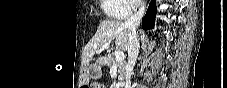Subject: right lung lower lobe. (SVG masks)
Segmentation results:
<instances>
[{
  "label": "right lung lower lobe",
  "mask_w": 227,
  "mask_h": 88,
  "mask_svg": "<svg viewBox=\"0 0 227 88\" xmlns=\"http://www.w3.org/2000/svg\"><path fill=\"white\" fill-rule=\"evenodd\" d=\"M156 13H157L156 0H151V3L149 4V7L147 9L146 15L142 20V25L144 29L153 28Z\"/></svg>",
  "instance_id": "98d812e1"
}]
</instances>
